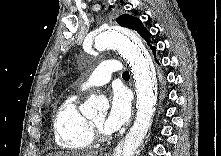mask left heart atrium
Segmentation results:
<instances>
[{"label":"left heart atrium","instance_id":"1","mask_svg":"<svg viewBox=\"0 0 221 156\" xmlns=\"http://www.w3.org/2000/svg\"><path fill=\"white\" fill-rule=\"evenodd\" d=\"M131 116V100L126 90L115 88L110 96V108L103 123L107 133L118 131L126 124Z\"/></svg>","mask_w":221,"mask_h":156}]
</instances>
